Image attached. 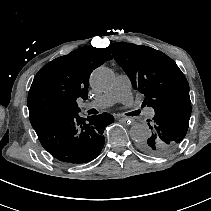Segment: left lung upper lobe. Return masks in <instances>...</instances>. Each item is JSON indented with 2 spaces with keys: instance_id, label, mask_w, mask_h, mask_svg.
I'll return each mask as SVG.
<instances>
[{
  "instance_id": "left-lung-upper-lobe-1",
  "label": "left lung upper lobe",
  "mask_w": 211,
  "mask_h": 211,
  "mask_svg": "<svg viewBox=\"0 0 211 211\" xmlns=\"http://www.w3.org/2000/svg\"><path fill=\"white\" fill-rule=\"evenodd\" d=\"M107 49L144 95L142 107L154 109L151 137L141 144L144 152L165 155L177 149L186 136L191 116L189 85L176 63L151 47L115 43Z\"/></svg>"
}]
</instances>
